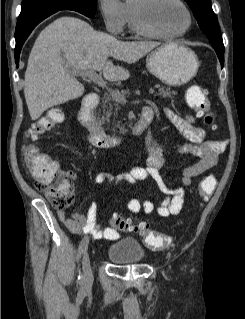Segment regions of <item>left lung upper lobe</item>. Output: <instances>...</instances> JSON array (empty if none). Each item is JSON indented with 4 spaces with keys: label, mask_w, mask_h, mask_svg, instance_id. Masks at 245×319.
Listing matches in <instances>:
<instances>
[{
    "label": "left lung upper lobe",
    "mask_w": 245,
    "mask_h": 319,
    "mask_svg": "<svg viewBox=\"0 0 245 319\" xmlns=\"http://www.w3.org/2000/svg\"><path fill=\"white\" fill-rule=\"evenodd\" d=\"M193 11L199 27L214 48L224 51L218 19L211 7V0H185Z\"/></svg>",
    "instance_id": "left-lung-upper-lobe-1"
}]
</instances>
